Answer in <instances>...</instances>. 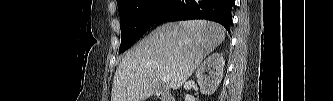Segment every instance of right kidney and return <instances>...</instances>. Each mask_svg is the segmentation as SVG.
<instances>
[{"mask_svg": "<svg viewBox=\"0 0 333 101\" xmlns=\"http://www.w3.org/2000/svg\"><path fill=\"white\" fill-rule=\"evenodd\" d=\"M224 65L223 55L213 53L198 67L196 77L201 93L211 95L216 91L223 77ZM185 101H195V98L187 94Z\"/></svg>", "mask_w": 333, "mask_h": 101, "instance_id": "1", "label": "right kidney"}]
</instances>
